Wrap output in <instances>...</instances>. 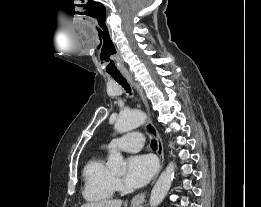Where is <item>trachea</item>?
Masks as SVG:
<instances>
[{"instance_id":"trachea-1","label":"trachea","mask_w":261,"mask_h":207,"mask_svg":"<svg viewBox=\"0 0 261 207\" xmlns=\"http://www.w3.org/2000/svg\"><path fill=\"white\" fill-rule=\"evenodd\" d=\"M110 75L114 78V80L117 83H119L126 90L127 93L131 92V88H130L129 84L127 83L126 79L120 73L110 74ZM151 147L154 150L157 149V142L155 140L151 141Z\"/></svg>"}]
</instances>
